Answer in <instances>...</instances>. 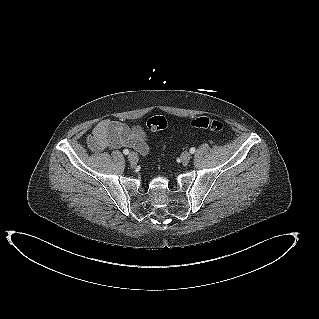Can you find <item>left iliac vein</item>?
<instances>
[{"instance_id": "obj_1", "label": "left iliac vein", "mask_w": 319, "mask_h": 319, "mask_svg": "<svg viewBox=\"0 0 319 319\" xmlns=\"http://www.w3.org/2000/svg\"><path fill=\"white\" fill-rule=\"evenodd\" d=\"M190 159H191V154L189 152L185 151L181 154V161L183 164L188 163Z\"/></svg>"}]
</instances>
